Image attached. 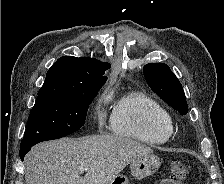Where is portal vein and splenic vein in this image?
<instances>
[{
    "label": "portal vein and splenic vein",
    "mask_w": 224,
    "mask_h": 184,
    "mask_svg": "<svg viewBox=\"0 0 224 184\" xmlns=\"http://www.w3.org/2000/svg\"><path fill=\"white\" fill-rule=\"evenodd\" d=\"M79 169H80V171H86L87 170V168H85L83 166H81Z\"/></svg>",
    "instance_id": "18ae733b"
}]
</instances>
